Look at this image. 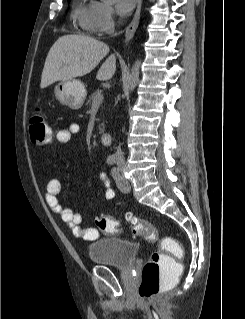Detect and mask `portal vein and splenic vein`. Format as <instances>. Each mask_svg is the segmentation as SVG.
I'll return each mask as SVG.
<instances>
[{"mask_svg":"<svg viewBox=\"0 0 245 319\" xmlns=\"http://www.w3.org/2000/svg\"><path fill=\"white\" fill-rule=\"evenodd\" d=\"M104 99V95L101 93L99 94L92 102V106L93 107H97V106H100V104L102 103Z\"/></svg>","mask_w":245,"mask_h":319,"instance_id":"obj_1","label":"portal vein and splenic vein"}]
</instances>
